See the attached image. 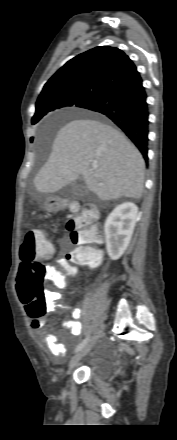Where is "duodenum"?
<instances>
[{
  "instance_id": "obj_1",
  "label": "duodenum",
  "mask_w": 177,
  "mask_h": 440,
  "mask_svg": "<svg viewBox=\"0 0 177 440\" xmlns=\"http://www.w3.org/2000/svg\"><path fill=\"white\" fill-rule=\"evenodd\" d=\"M62 206H63V204H62V203H60V204H59V207H62Z\"/></svg>"
}]
</instances>
